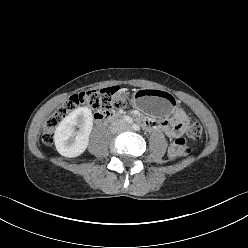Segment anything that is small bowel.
I'll return each mask as SVG.
<instances>
[{"label":"small bowel","mask_w":248,"mask_h":248,"mask_svg":"<svg viewBox=\"0 0 248 248\" xmlns=\"http://www.w3.org/2000/svg\"><path fill=\"white\" fill-rule=\"evenodd\" d=\"M142 122L148 129H161L168 137L176 138L184 132L189 118L182 109H179L171 120L156 121L144 119Z\"/></svg>","instance_id":"small-bowel-1"}]
</instances>
